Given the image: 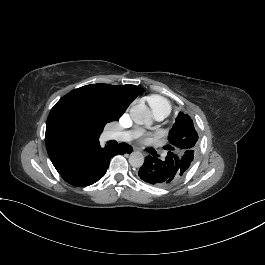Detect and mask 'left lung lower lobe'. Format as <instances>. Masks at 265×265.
<instances>
[{"mask_svg":"<svg viewBox=\"0 0 265 265\" xmlns=\"http://www.w3.org/2000/svg\"><path fill=\"white\" fill-rule=\"evenodd\" d=\"M138 175L146 183L155 186H168L179 181L183 176V164L177 155L170 152L164 160L147 156Z\"/></svg>","mask_w":265,"mask_h":265,"instance_id":"1","label":"left lung lower lobe"}]
</instances>
